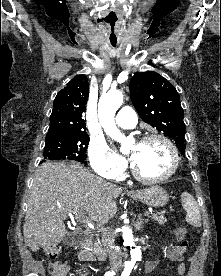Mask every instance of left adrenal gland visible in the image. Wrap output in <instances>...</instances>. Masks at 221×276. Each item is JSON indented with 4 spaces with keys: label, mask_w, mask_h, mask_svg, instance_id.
Here are the masks:
<instances>
[{
    "label": "left adrenal gland",
    "mask_w": 221,
    "mask_h": 276,
    "mask_svg": "<svg viewBox=\"0 0 221 276\" xmlns=\"http://www.w3.org/2000/svg\"><path fill=\"white\" fill-rule=\"evenodd\" d=\"M147 222H148V219H143V218H142V214H139V215H138V220H137V223H136V228H137L138 230L143 229V225H144L145 223H147Z\"/></svg>",
    "instance_id": "left-adrenal-gland-1"
}]
</instances>
